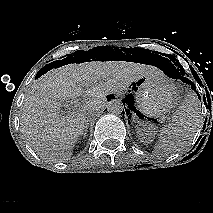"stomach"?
Returning <instances> with one entry per match:
<instances>
[{
  "instance_id": "0dacf381",
  "label": "stomach",
  "mask_w": 213,
  "mask_h": 213,
  "mask_svg": "<svg viewBox=\"0 0 213 213\" xmlns=\"http://www.w3.org/2000/svg\"><path fill=\"white\" fill-rule=\"evenodd\" d=\"M139 111L152 118H160L176 107L178 90L164 76L146 75L133 83Z\"/></svg>"
}]
</instances>
